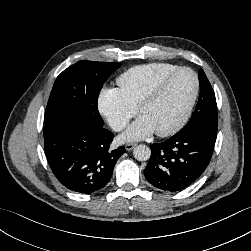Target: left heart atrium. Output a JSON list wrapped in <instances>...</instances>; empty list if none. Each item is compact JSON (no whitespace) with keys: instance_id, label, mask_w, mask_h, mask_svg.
<instances>
[{"instance_id":"1","label":"left heart atrium","mask_w":251,"mask_h":251,"mask_svg":"<svg viewBox=\"0 0 251 251\" xmlns=\"http://www.w3.org/2000/svg\"><path fill=\"white\" fill-rule=\"evenodd\" d=\"M154 132L153 127L144 116H139L131 124L128 130L121 136L123 141H137L150 136Z\"/></svg>"}]
</instances>
